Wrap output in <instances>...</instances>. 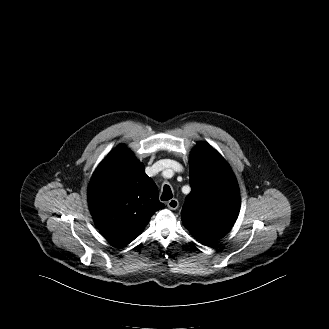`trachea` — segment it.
Wrapping results in <instances>:
<instances>
[{
	"instance_id": "trachea-1",
	"label": "trachea",
	"mask_w": 329,
	"mask_h": 329,
	"mask_svg": "<svg viewBox=\"0 0 329 329\" xmlns=\"http://www.w3.org/2000/svg\"><path fill=\"white\" fill-rule=\"evenodd\" d=\"M173 197L172 191L168 185H165L163 188V193L161 195L162 201H168Z\"/></svg>"
}]
</instances>
